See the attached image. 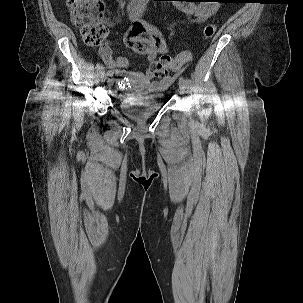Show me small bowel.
I'll list each match as a JSON object with an SVG mask.
<instances>
[{"mask_svg": "<svg viewBox=\"0 0 303 303\" xmlns=\"http://www.w3.org/2000/svg\"><path fill=\"white\" fill-rule=\"evenodd\" d=\"M147 0H131L127 11L132 22L131 27L125 33L124 43L136 53L144 55L148 60H154L159 54L167 51L166 43L160 31L152 24L142 20L144 4ZM218 2L216 0H185L179 7L194 22H204L210 19L218 10L219 4L208 3ZM146 37H145V36ZM113 43L107 42L99 49L100 56L104 63L121 76L118 85L133 84L150 91L166 89L172 83L171 76H164L155 79V75L148 70L146 73L129 71V60L121 55L113 57ZM179 70V69H178Z\"/></svg>", "mask_w": 303, "mask_h": 303, "instance_id": "obj_1", "label": "small bowel"}]
</instances>
